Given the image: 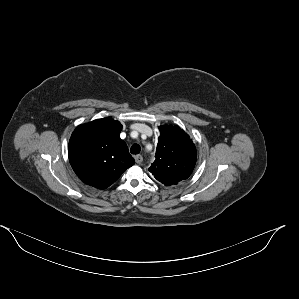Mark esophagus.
<instances>
[{"label": "esophagus", "instance_id": "34e87169", "mask_svg": "<svg viewBox=\"0 0 299 299\" xmlns=\"http://www.w3.org/2000/svg\"><path fill=\"white\" fill-rule=\"evenodd\" d=\"M142 161H143V157H142V155H136V156H135V162H136L137 164H140Z\"/></svg>", "mask_w": 299, "mask_h": 299}]
</instances>
